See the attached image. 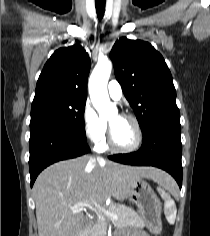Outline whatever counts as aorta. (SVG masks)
<instances>
[{
	"instance_id": "762f6f07",
	"label": "aorta",
	"mask_w": 210,
	"mask_h": 236,
	"mask_svg": "<svg viewBox=\"0 0 210 236\" xmlns=\"http://www.w3.org/2000/svg\"><path fill=\"white\" fill-rule=\"evenodd\" d=\"M112 70V62L99 59L89 78V94L93 106L100 118L105 119L117 112L115 105L110 103L107 83Z\"/></svg>"
}]
</instances>
